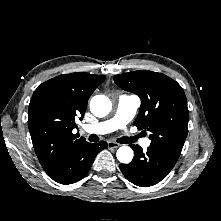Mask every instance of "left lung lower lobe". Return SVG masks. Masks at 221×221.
I'll use <instances>...</instances> for the list:
<instances>
[{
	"label": "left lung lower lobe",
	"instance_id": "left-lung-lower-lobe-1",
	"mask_svg": "<svg viewBox=\"0 0 221 221\" xmlns=\"http://www.w3.org/2000/svg\"><path fill=\"white\" fill-rule=\"evenodd\" d=\"M130 146L135 151V156L129 164H120V169L130 182L140 187H149L160 182L179 158L168 151L151 146L147 148L146 153H143L138 145Z\"/></svg>",
	"mask_w": 221,
	"mask_h": 221
}]
</instances>
